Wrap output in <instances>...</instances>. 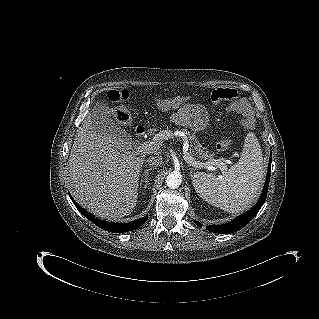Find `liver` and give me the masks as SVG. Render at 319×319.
Here are the masks:
<instances>
[{
	"instance_id": "1",
	"label": "liver",
	"mask_w": 319,
	"mask_h": 319,
	"mask_svg": "<svg viewBox=\"0 0 319 319\" xmlns=\"http://www.w3.org/2000/svg\"><path fill=\"white\" fill-rule=\"evenodd\" d=\"M144 161L145 155L121 154L114 141L98 133L89 113L77 130L68 161L74 198L101 218L131 214Z\"/></svg>"
}]
</instances>
